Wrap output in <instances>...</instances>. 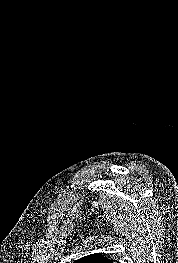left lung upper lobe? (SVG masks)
<instances>
[{
  "label": "left lung upper lobe",
  "instance_id": "left-lung-upper-lobe-1",
  "mask_svg": "<svg viewBox=\"0 0 178 263\" xmlns=\"http://www.w3.org/2000/svg\"><path fill=\"white\" fill-rule=\"evenodd\" d=\"M113 260L107 259L101 254H92L75 260L74 263H112Z\"/></svg>",
  "mask_w": 178,
  "mask_h": 263
}]
</instances>
